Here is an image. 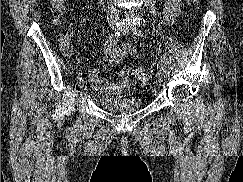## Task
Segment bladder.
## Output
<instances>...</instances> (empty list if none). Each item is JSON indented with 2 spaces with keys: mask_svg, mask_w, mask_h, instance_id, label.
I'll return each mask as SVG.
<instances>
[{
  "mask_svg": "<svg viewBox=\"0 0 243 182\" xmlns=\"http://www.w3.org/2000/svg\"><path fill=\"white\" fill-rule=\"evenodd\" d=\"M100 107L112 114H127L137 112L142 108V102L138 96L131 95L119 99L103 97L99 100Z\"/></svg>",
  "mask_w": 243,
  "mask_h": 182,
  "instance_id": "obj_1",
  "label": "bladder"
}]
</instances>
